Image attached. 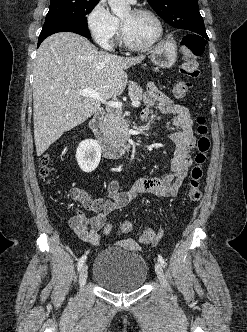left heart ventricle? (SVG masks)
I'll use <instances>...</instances> for the list:
<instances>
[{
  "label": "left heart ventricle",
  "mask_w": 247,
  "mask_h": 332,
  "mask_svg": "<svg viewBox=\"0 0 247 332\" xmlns=\"http://www.w3.org/2000/svg\"><path fill=\"white\" fill-rule=\"evenodd\" d=\"M128 36L136 44H145L153 40L158 33L156 21L149 15L135 14L132 10L121 17Z\"/></svg>",
  "instance_id": "b2bd125f"
}]
</instances>
